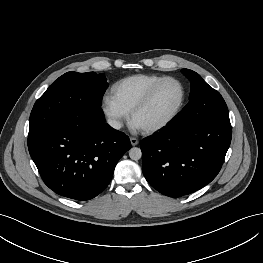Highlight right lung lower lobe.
Here are the masks:
<instances>
[{
	"mask_svg": "<svg viewBox=\"0 0 263 263\" xmlns=\"http://www.w3.org/2000/svg\"><path fill=\"white\" fill-rule=\"evenodd\" d=\"M130 148L128 136L105 123L101 109L28 136L29 153L44 183L61 196L81 201L106 188Z\"/></svg>",
	"mask_w": 263,
	"mask_h": 263,
	"instance_id": "obj_1",
	"label": "right lung lower lobe"
}]
</instances>
